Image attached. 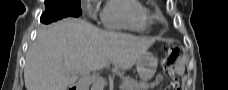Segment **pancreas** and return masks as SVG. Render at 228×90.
Listing matches in <instances>:
<instances>
[{"instance_id": "obj_1", "label": "pancreas", "mask_w": 228, "mask_h": 90, "mask_svg": "<svg viewBox=\"0 0 228 90\" xmlns=\"http://www.w3.org/2000/svg\"><path fill=\"white\" fill-rule=\"evenodd\" d=\"M156 82H152L150 84L146 82H138L130 77L124 78L122 81V85L120 87L121 90H148L149 87L153 88L157 85Z\"/></svg>"}]
</instances>
